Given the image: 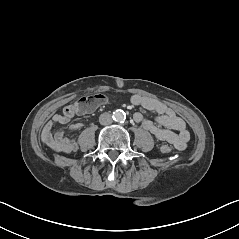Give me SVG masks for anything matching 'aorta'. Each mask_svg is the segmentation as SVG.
Returning <instances> with one entry per match:
<instances>
[{"label": "aorta", "mask_w": 239, "mask_h": 239, "mask_svg": "<svg viewBox=\"0 0 239 239\" xmlns=\"http://www.w3.org/2000/svg\"><path fill=\"white\" fill-rule=\"evenodd\" d=\"M113 118L117 122H123L125 120L126 116L122 110H116L113 114Z\"/></svg>", "instance_id": "1"}]
</instances>
